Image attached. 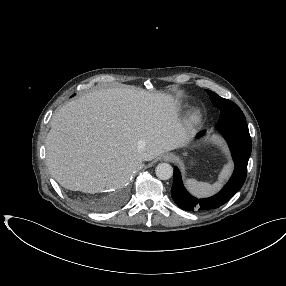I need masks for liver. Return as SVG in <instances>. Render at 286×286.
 Masks as SVG:
<instances>
[{"instance_id": "liver-1", "label": "liver", "mask_w": 286, "mask_h": 286, "mask_svg": "<svg viewBox=\"0 0 286 286\" xmlns=\"http://www.w3.org/2000/svg\"><path fill=\"white\" fill-rule=\"evenodd\" d=\"M169 94L130 87L100 89L56 111L46 139L47 165L64 188L85 193L123 188L138 164L183 147L191 123Z\"/></svg>"}]
</instances>
